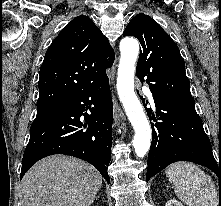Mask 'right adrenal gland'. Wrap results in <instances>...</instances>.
<instances>
[{"mask_svg": "<svg viewBox=\"0 0 221 206\" xmlns=\"http://www.w3.org/2000/svg\"><path fill=\"white\" fill-rule=\"evenodd\" d=\"M100 195H101V194H99V196H100ZM99 196H97V197H96V199H98V198H99Z\"/></svg>", "mask_w": 221, "mask_h": 206, "instance_id": "2a0ac1e0", "label": "right adrenal gland"}]
</instances>
